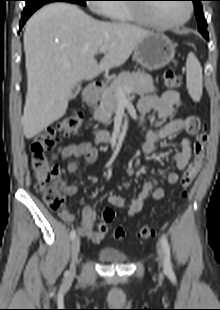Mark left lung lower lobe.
I'll list each match as a JSON object with an SVG mask.
<instances>
[{
    "instance_id": "1",
    "label": "left lung lower lobe",
    "mask_w": 220,
    "mask_h": 310,
    "mask_svg": "<svg viewBox=\"0 0 220 310\" xmlns=\"http://www.w3.org/2000/svg\"><path fill=\"white\" fill-rule=\"evenodd\" d=\"M204 37L206 38V40H208L209 38H208V35H204Z\"/></svg>"
}]
</instances>
